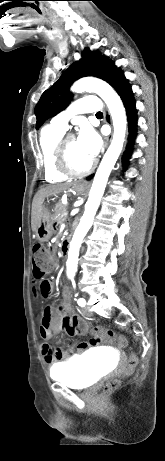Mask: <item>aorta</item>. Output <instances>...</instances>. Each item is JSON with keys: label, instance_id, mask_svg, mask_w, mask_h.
I'll use <instances>...</instances> for the list:
<instances>
[{"label": "aorta", "instance_id": "obj_1", "mask_svg": "<svg viewBox=\"0 0 165 461\" xmlns=\"http://www.w3.org/2000/svg\"><path fill=\"white\" fill-rule=\"evenodd\" d=\"M74 93L93 92L106 103L113 121L114 134L109 148L95 174L85 211L70 242L66 262L67 276L73 278L77 271L79 250L82 241L93 224L109 175L122 151L126 133V113L123 103L113 88L103 80L87 77L76 81L71 87Z\"/></svg>", "mask_w": 165, "mask_h": 461}]
</instances>
